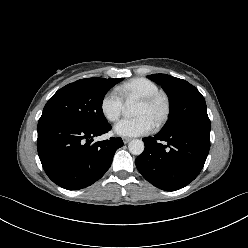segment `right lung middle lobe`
Instances as JSON below:
<instances>
[{"mask_svg":"<svg viewBox=\"0 0 248 248\" xmlns=\"http://www.w3.org/2000/svg\"><path fill=\"white\" fill-rule=\"evenodd\" d=\"M123 78H87L58 90L47 102L39 121L67 119L85 126L107 124L102 102L107 91Z\"/></svg>","mask_w":248,"mask_h":248,"instance_id":"right-lung-middle-lobe-1","label":"right lung middle lobe"}]
</instances>
